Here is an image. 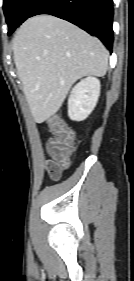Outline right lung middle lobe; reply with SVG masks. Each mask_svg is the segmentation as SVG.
I'll return each instance as SVG.
<instances>
[{
  "instance_id": "1",
  "label": "right lung middle lobe",
  "mask_w": 134,
  "mask_h": 281,
  "mask_svg": "<svg viewBox=\"0 0 134 281\" xmlns=\"http://www.w3.org/2000/svg\"><path fill=\"white\" fill-rule=\"evenodd\" d=\"M30 0H4L3 10L11 34L21 24L24 10Z\"/></svg>"
}]
</instances>
